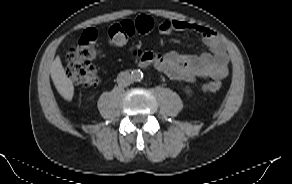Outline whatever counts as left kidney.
I'll return each instance as SVG.
<instances>
[{"mask_svg":"<svg viewBox=\"0 0 292 184\" xmlns=\"http://www.w3.org/2000/svg\"><path fill=\"white\" fill-rule=\"evenodd\" d=\"M186 92L188 93V94H191V89H186Z\"/></svg>","mask_w":292,"mask_h":184,"instance_id":"obj_1","label":"left kidney"}]
</instances>
